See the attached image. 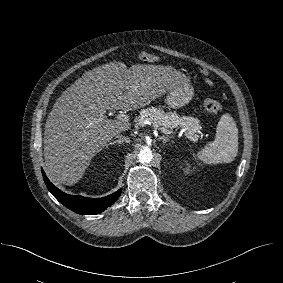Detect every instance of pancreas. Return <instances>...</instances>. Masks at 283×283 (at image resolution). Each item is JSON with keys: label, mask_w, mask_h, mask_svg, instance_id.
Here are the masks:
<instances>
[{"label": "pancreas", "mask_w": 283, "mask_h": 283, "mask_svg": "<svg viewBox=\"0 0 283 283\" xmlns=\"http://www.w3.org/2000/svg\"><path fill=\"white\" fill-rule=\"evenodd\" d=\"M150 121L157 128L184 129L187 136L197 138L201 125L199 120L193 116H180L176 112H164L161 107L143 109L137 118L138 124L143 125L144 121Z\"/></svg>", "instance_id": "cf45deb5"}]
</instances>
